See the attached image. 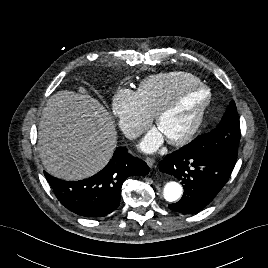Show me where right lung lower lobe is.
I'll use <instances>...</instances> for the list:
<instances>
[{
  "label": "right lung lower lobe",
  "instance_id": "1",
  "mask_svg": "<svg viewBox=\"0 0 268 268\" xmlns=\"http://www.w3.org/2000/svg\"><path fill=\"white\" fill-rule=\"evenodd\" d=\"M147 164L118 147L106 167L81 181L67 182L44 172L57 199L70 211L84 217H102L118 208L121 186L129 176L147 175Z\"/></svg>",
  "mask_w": 268,
  "mask_h": 268
}]
</instances>
